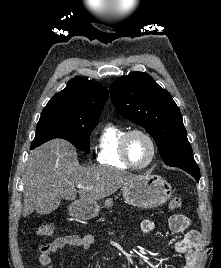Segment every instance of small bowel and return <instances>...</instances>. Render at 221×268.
I'll return each instance as SVG.
<instances>
[{"instance_id": "c3829d8e", "label": "small bowel", "mask_w": 221, "mask_h": 268, "mask_svg": "<svg viewBox=\"0 0 221 268\" xmlns=\"http://www.w3.org/2000/svg\"><path fill=\"white\" fill-rule=\"evenodd\" d=\"M190 224L189 218L181 214L172 215L169 219L170 229L177 233L185 231ZM155 228L156 222L154 220L145 219L141 222V230L144 233H151ZM94 241L95 237L92 234H72L58 237L39 247L38 263L46 268H54L51 259L53 253L66 246L88 249ZM199 244L200 233L196 230L188 231L181 240L174 244L175 252L184 256V261L179 265V268H194L198 257Z\"/></svg>"}]
</instances>
